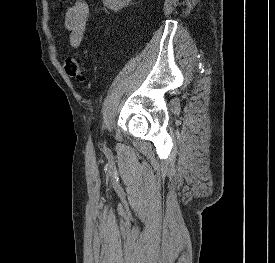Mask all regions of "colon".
Masks as SVG:
<instances>
[{
    "label": "colon",
    "instance_id": "obj_1",
    "mask_svg": "<svg viewBox=\"0 0 275 263\" xmlns=\"http://www.w3.org/2000/svg\"><path fill=\"white\" fill-rule=\"evenodd\" d=\"M65 1L66 0H61L63 3ZM64 70L70 78L75 79L77 82L83 83L85 81V75L80 65V61L76 56H70L65 59Z\"/></svg>",
    "mask_w": 275,
    "mask_h": 263
}]
</instances>
